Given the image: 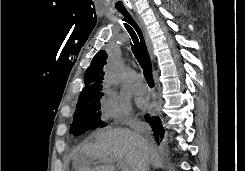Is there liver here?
Listing matches in <instances>:
<instances>
[{
	"label": "liver",
	"instance_id": "6515ba94",
	"mask_svg": "<svg viewBox=\"0 0 245 171\" xmlns=\"http://www.w3.org/2000/svg\"><path fill=\"white\" fill-rule=\"evenodd\" d=\"M95 142L83 146L81 153L92 159H103L105 165L96 168L88 166L78 171H116L113 161L123 160L132 171H141L145 162L154 168H162L163 160L149 143L146 147L143 137L127 129H108L95 135Z\"/></svg>",
	"mask_w": 245,
	"mask_h": 171
}]
</instances>
